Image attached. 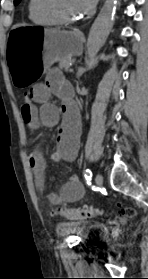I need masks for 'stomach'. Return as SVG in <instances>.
<instances>
[{
	"mask_svg": "<svg viewBox=\"0 0 148 279\" xmlns=\"http://www.w3.org/2000/svg\"><path fill=\"white\" fill-rule=\"evenodd\" d=\"M5 50L16 91H29L48 72L50 65L66 57L82 53L81 33L78 31L47 30L46 25H18L6 35ZM42 49V50H34Z\"/></svg>",
	"mask_w": 148,
	"mask_h": 279,
	"instance_id": "obj_1",
	"label": "stomach"
}]
</instances>
